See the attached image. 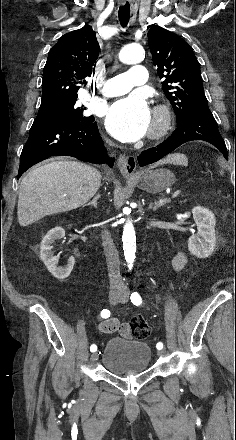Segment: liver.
I'll use <instances>...</instances> for the list:
<instances>
[{
    "instance_id": "obj_1",
    "label": "liver",
    "mask_w": 236,
    "mask_h": 440,
    "mask_svg": "<svg viewBox=\"0 0 236 440\" xmlns=\"http://www.w3.org/2000/svg\"><path fill=\"white\" fill-rule=\"evenodd\" d=\"M164 163L187 165V159L174 154ZM100 184L101 173L78 161H53L31 169L19 187L17 215L20 226L77 209L96 194Z\"/></svg>"
}]
</instances>
